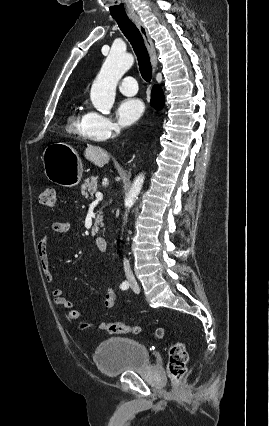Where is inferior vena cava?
<instances>
[{"mask_svg":"<svg viewBox=\"0 0 269 426\" xmlns=\"http://www.w3.org/2000/svg\"><path fill=\"white\" fill-rule=\"evenodd\" d=\"M124 270H125V273H126V275H129L130 274V266H129V261L128 260H124Z\"/></svg>","mask_w":269,"mask_h":426,"instance_id":"obj_1","label":"inferior vena cava"}]
</instances>
